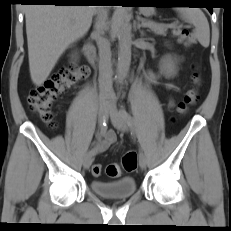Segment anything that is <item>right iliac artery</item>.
Returning <instances> with one entry per match:
<instances>
[{
	"label": "right iliac artery",
	"mask_w": 231,
	"mask_h": 231,
	"mask_svg": "<svg viewBox=\"0 0 231 231\" xmlns=\"http://www.w3.org/2000/svg\"><path fill=\"white\" fill-rule=\"evenodd\" d=\"M107 131V124L105 122V120L103 122L100 123L99 125V130H98V136H102L105 132ZM89 154L94 156L95 152L93 150L89 151Z\"/></svg>",
	"instance_id": "right-iliac-artery-1"
}]
</instances>
